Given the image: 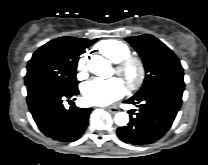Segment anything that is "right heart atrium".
<instances>
[{"mask_svg":"<svg viewBox=\"0 0 208 165\" xmlns=\"http://www.w3.org/2000/svg\"><path fill=\"white\" fill-rule=\"evenodd\" d=\"M76 69L77 77L84 79L87 75V55H83L78 59Z\"/></svg>","mask_w":208,"mask_h":165,"instance_id":"d8ad5b80","label":"right heart atrium"}]
</instances>
